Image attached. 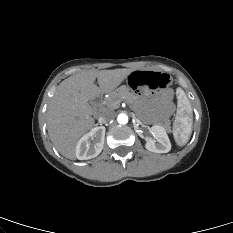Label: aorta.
Here are the masks:
<instances>
[{"label":"aorta","mask_w":233,"mask_h":233,"mask_svg":"<svg viewBox=\"0 0 233 233\" xmlns=\"http://www.w3.org/2000/svg\"><path fill=\"white\" fill-rule=\"evenodd\" d=\"M117 121L119 124H122V125L127 124L128 123V116L124 113H121L118 115Z\"/></svg>","instance_id":"aorta-1"}]
</instances>
